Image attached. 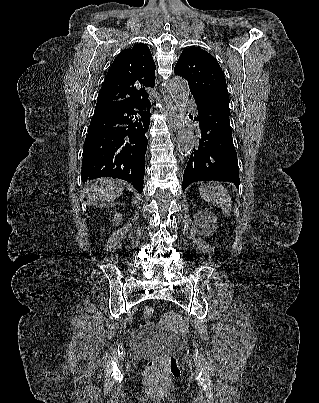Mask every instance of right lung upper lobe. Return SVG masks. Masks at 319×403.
Instances as JSON below:
<instances>
[{"mask_svg":"<svg viewBox=\"0 0 319 403\" xmlns=\"http://www.w3.org/2000/svg\"><path fill=\"white\" fill-rule=\"evenodd\" d=\"M155 69L146 45L136 44L123 50L106 74L94 113L103 114L147 101L145 88L154 87Z\"/></svg>","mask_w":319,"mask_h":403,"instance_id":"right-lung-upper-lobe-1","label":"right lung upper lobe"}]
</instances>
